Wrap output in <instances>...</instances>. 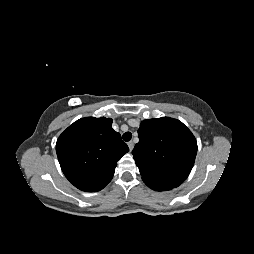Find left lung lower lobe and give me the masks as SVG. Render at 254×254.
Segmentation results:
<instances>
[{
	"label": "left lung lower lobe",
	"mask_w": 254,
	"mask_h": 254,
	"mask_svg": "<svg viewBox=\"0 0 254 254\" xmlns=\"http://www.w3.org/2000/svg\"><path fill=\"white\" fill-rule=\"evenodd\" d=\"M145 184L151 189L156 191H167V190L173 189V187L160 185V184H154V183H145Z\"/></svg>",
	"instance_id": "0a47b994"
}]
</instances>
